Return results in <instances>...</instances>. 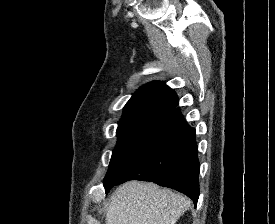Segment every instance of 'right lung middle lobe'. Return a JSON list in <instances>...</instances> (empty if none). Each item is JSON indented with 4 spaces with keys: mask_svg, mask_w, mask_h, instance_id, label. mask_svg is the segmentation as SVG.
<instances>
[{
    "mask_svg": "<svg viewBox=\"0 0 275 224\" xmlns=\"http://www.w3.org/2000/svg\"><path fill=\"white\" fill-rule=\"evenodd\" d=\"M164 112L146 111L123 116L117 128V145L113 151L109 170L104 181L109 180L123 165L126 159L147 136Z\"/></svg>",
    "mask_w": 275,
    "mask_h": 224,
    "instance_id": "right-lung-middle-lobe-1",
    "label": "right lung middle lobe"
}]
</instances>
